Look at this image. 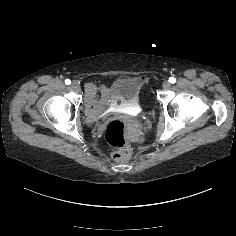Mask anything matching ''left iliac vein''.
<instances>
[{"label":"left iliac vein","mask_w":236,"mask_h":236,"mask_svg":"<svg viewBox=\"0 0 236 236\" xmlns=\"http://www.w3.org/2000/svg\"><path fill=\"white\" fill-rule=\"evenodd\" d=\"M162 86L165 90H168L171 87V84H170V82L165 81V82H163Z\"/></svg>","instance_id":"1"}]
</instances>
